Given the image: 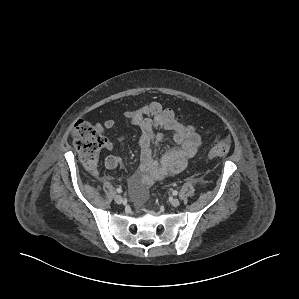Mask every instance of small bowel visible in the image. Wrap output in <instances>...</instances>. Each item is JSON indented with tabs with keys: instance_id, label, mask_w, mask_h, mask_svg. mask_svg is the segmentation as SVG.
<instances>
[{
	"instance_id": "1",
	"label": "small bowel",
	"mask_w": 299,
	"mask_h": 299,
	"mask_svg": "<svg viewBox=\"0 0 299 299\" xmlns=\"http://www.w3.org/2000/svg\"><path fill=\"white\" fill-rule=\"evenodd\" d=\"M122 117L131 125L140 128V163L136 172L129 179V188L138 204L147 195L148 188L156 181L183 171L189 160L196 154L201 138L194 127L179 122H167L154 114L149 105L125 111ZM115 126L113 119L98 124L100 132L111 130ZM163 132L172 133L175 147L167 148L159 155L157 147L164 139ZM109 151L113 149L111 142L105 143ZM118 156L110 154L105 158L107 169H114L119 164Z\"/></svg>"
}]
</instances>
